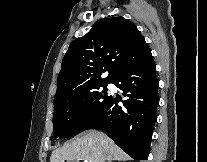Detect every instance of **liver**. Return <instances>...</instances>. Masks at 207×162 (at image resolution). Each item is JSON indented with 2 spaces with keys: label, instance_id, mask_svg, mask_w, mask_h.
<instances>
[{
  "label": "liver",
  "instance_id": "liver-1",
  "mask_svg": "<svg viewBox=\"0 0 207 162\" xmlns=\"http://www.w3.org/2000/svg\"><path fill=\"white\" fill-rule=\"evenodd\" d=\"M112 162L127 161L126 155L106 134L100 131H86L78 138L54 150L50 162Z\"/></svg>",
  "mask_w": 207,
  "mask_h": 162
}]
</instances>
